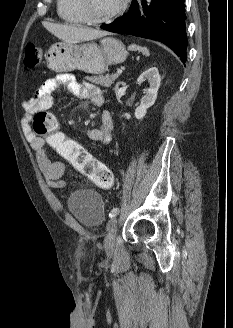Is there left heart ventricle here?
<instances>
[{
	"label": "left heart ventricle",
	"mask_w": 233,
	"mask_h": 328,
	"mask_svg": "<svg viewBox=\"0 0 233 328\" xmlns=\"http://www.w3.org/2000/svg\"><path fill=\"white\" fill-rule=\"evenodd\" d=\"M89 13L94 17H103L115 10L122 0H87Z\"/></svg>",
	"instance_id": "left-heart-ventricle-1"
}]
</instances>
